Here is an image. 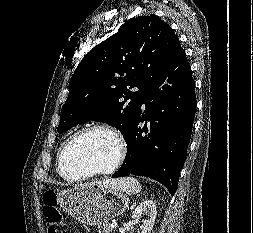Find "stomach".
<instances>
[{
	"label": "stomach",
	"mask_w": 253,
	"mask_h": 233,
	"mask_svg": "<svg viewBox=\"0 0 253 233\" xmlns=\"http://www.w3.org/2000/svg\"><path fill=\"white\" fill-rule=\"evenodd\" d=\"M56 196L63 210L90 226L107 223L129 206V199L123 191L95 182L58 191Z\"/></svg>",
	"instance_id": "0dacf381"
}]
</instances>
